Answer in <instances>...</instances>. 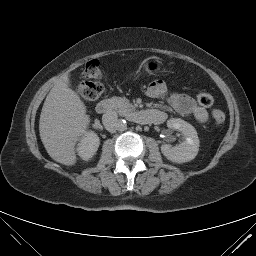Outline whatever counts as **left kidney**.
<instances>
[{
  "mask_svg": "<svg viewBox=\"0 0 256 256\" xmlns=\"http://www.w3.org/2000/svg\"><path fill=\"white\" fill-rule=\"evenodd\" d=\"M170 129L179 130L185 137V141L178 146L164 144L161 146L162 154L175 163H185L193 160L199 150V139L195 128L186 121L173 118L167 121Z\"/></svg>",
  "mask_w": 256,
  "mask_h": 256,
  "instance_id": "left-kidney-1",
  "label": "left kidney"
}]
</instances>
